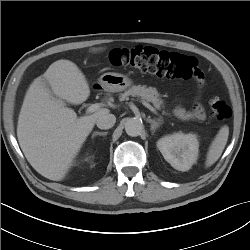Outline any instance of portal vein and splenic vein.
Wrapping results in <instances>:
<instances>
[{"label": "portal vein and splenic vein", "instance_id": "portal-vein-and-splenic-vein-1", "mask_svg": "<svg viewBox=\"0 0 250 250\" xmlns=\"http://www.w3.org/2000/svg\"><path fill=\"white\" fill-rule=\"evenodd\" d=\"M141 102H142V104H143L146 108H148L151 112H153V113H155V114L157 113L156 110H155V108H154L153 106H151L149 103H147V102L144 101V100H141ZM101 106H102L101 103L91 104V105L88 106L86 112H87L88 114H89V113H93V112L99 110V109L101 108Z\"/></svg>", "mask_w": 250, "mask_h": 250}]
</instances>
